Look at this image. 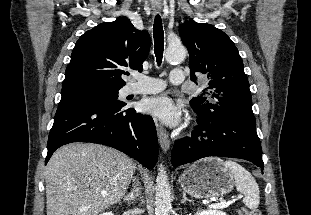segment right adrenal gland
I'll list each match as a JSON object with an SVG mask.
<instances>
[{"instance_id": "right-adrenal-gland-1", "label": "right adrenal gland", "mask_w": 311, "mask_h": 215, "mask_svg": "<svg viewBox=\"0 0 311 215\" xmlns=\"http://www.w3.org/2000/svg\"><path fill=\"white\" fill-rule=\"evenodd\" d=\"M139 196V193L134 194L133 191L126 196H124V201L128 202V204H132L135 199Z\"/></svg>"}]
</instances>
